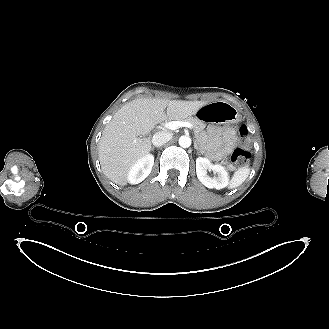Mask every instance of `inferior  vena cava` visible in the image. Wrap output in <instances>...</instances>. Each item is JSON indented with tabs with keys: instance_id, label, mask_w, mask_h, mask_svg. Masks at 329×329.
<instances>
[{
	"instance_id": "obj_1",
	"label": "inferior vena cava",
	"mask_w": 329,
	"mask_h": 329,
	"mask_svg": "<svg viewBox=\"0 0 329 329\" xmlns=\"http://www.w3.org/2000/svg\"><path fill=\"white\" fill-rule=\"evenodd\" d=\"M172 139V134L169 132L161 131L153 135L152 143L156 147H160Z\"/></svg>"
}]
</instances>
